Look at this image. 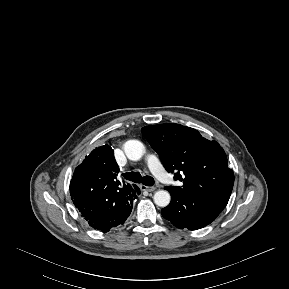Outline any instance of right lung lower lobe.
I'll return each instance as SVG.
<instances>
[{
  "label": "right lung lower lobe",
  "mask_w": 289,
  "mask_h": 289,
  "mask_svg": "<svg viewBox=\"0 0 289 289\" xmlns=\"http://www.w3.org/2000/svg\"><path fill=\"white\" fill-rule=\"evenodd\" d=\"M82 183L84 180L73 176L70 182L71 199L88 224L102 232H108L111 228L123 224L132 211L133 200L140 194L139 188L133 185L126 193L116 198L114 203L90 208V202L82 190Z\"/></svg>",
  "instance_id": "obj_1"
}]
</instances>
